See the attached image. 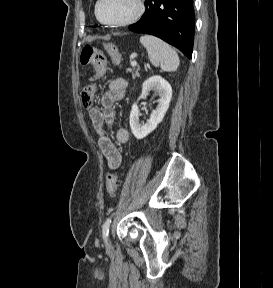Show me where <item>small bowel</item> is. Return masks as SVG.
<instances>
[{
    "label": "small bowel",
    "instance_id": "1",
    "mask_svg": "<svg viewBox=\"0 0 273 288\" xmlns=\"http://www.w3.org/2000/svg\"><path fill=\"white\" fill-rule=\"evenodd\" d=\"M127 81L123 78L112 80L107 90L101 96V108L93 107L89 116L95 131L98 134V145L107 159L111 170L117 169L121 164V154L111 139V129L115 119V102L124 97ZM116 140L124 144L129 140V132L125 128L116 131Z\"/></svg>",
    "mask_w": 273,
    "mask_h": 288
}]
</instances>
